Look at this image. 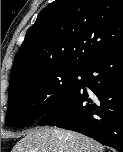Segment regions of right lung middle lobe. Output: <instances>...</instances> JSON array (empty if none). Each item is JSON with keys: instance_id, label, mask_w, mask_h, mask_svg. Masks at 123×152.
Returning <instances> with one entry per match:
<instances>
[{"instance_id": "dd1d6c3e", "label": "right lung middle lobe", "mask_w": 123, "mask_h": 152, "mask_svg": "<svg viewBox=\"0 0 123 152\" xmlns=\"http://www.w3.org/2000/svg\"><path fill=\"white\" fill-rule=\"evenodd\" d=\"M81 74L62 68L24 77L9 89L6 124L24 125L56 111L77 90Z\"/></svg>"}]
</instances>
